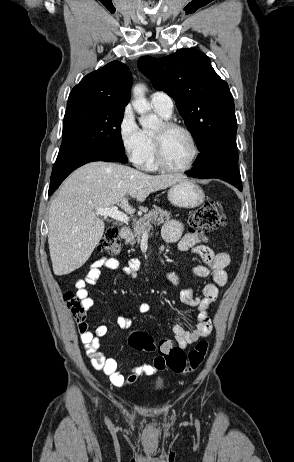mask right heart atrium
<instances>
[{
	"label": "right heart atrium",
	"instance_id": "1",
	"mask_svg": "<svg viewBox=\"0 0 294 462\" xmlns=\"http://www.w3.org/2000/svg\"><path fill=\"white\" fill-rule=\"evenodd\" d=\"M118 136L129 161L135 166H140L146 150L145 138L129 106L125 107L118 121Z\"/></svg>",
	"mask_w": 294,
	"mask_h": 462
}]
</instances>
